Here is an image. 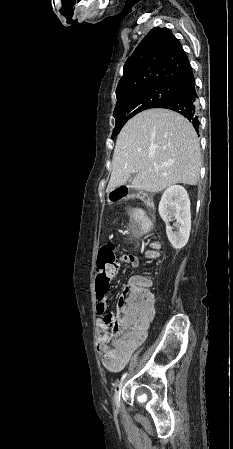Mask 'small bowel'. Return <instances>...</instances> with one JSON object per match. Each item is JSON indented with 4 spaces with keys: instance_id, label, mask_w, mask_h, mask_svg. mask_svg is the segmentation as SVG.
<instances>
[{
    "instance_id": "obj_1",
    "label": "small bowel",
    "mask_w": 233,
    "mask_h": 449,
    "mask_svg": "<svg viewBox=\"0 0 233 449\" xmlns=\"http://www.w3.org/2000/svg\"><path fill=\"white\" fill-rule=\"evenodd\" d=\"M121 263L126 264L130 267H136L138 265V259L135 255L130 254V253L121 254L119 261H118V265L114 268L108 269L109 279H113L117 275ZM132 281H133V278L131 279V282ZM107 309H108V304H107V296H106L105 299L97 305V312L101 317L104 318L105 315L108 313ZM151 317H152V312L149 313L146 316V318L143 320L136 335L132 339H130L129 341H127L123 344L120 354L124 358V361H125L124 365L127 363V361L130 359V357L133 355V353L135 352L137 347L145 340L146 327L148 324V320ZM99 327H100L101 332L99 334L98 341H97L98 352L100 354H105L106 346L109 343H112L115 346L114 343L116 342V339L114 337H112L110 335V333L108 332L109 327H108V324L105 321V319L100 321Z\"/></svg>"
}]
</instances>
